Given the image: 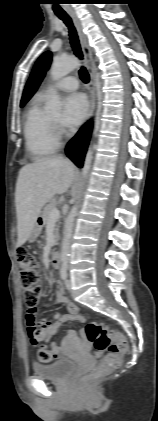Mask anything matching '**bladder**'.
<instances>
[{
  "label": "bladder",
  "instance_id": "bladder-1",
  "mask_svg": "<svg viewBox=\"0 0 158 421\" xmlns=\"http://www.w3.org/2000/svg\"><path fill=\"white\" fill-rule=\"evenodd\" d=\"M75 368L76 362L68 357H62L50 363L33 364V372L36 376L56 381L69 377Z\"/></svg>",
  "mask_w": 158,
  "mask_h": 421
}]
</instances>
